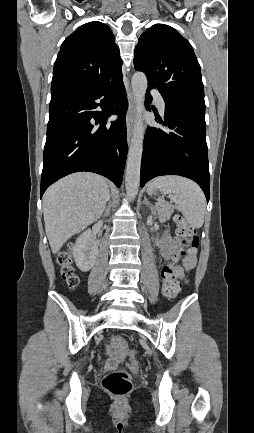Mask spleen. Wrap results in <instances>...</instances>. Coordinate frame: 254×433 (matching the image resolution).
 <instances>
[{"mask_svg": "<svg viewBox=\"0 0 254 433\" xmlns=\"http://www.w3.org/2000/svg\"><path fill=\"white\" fill-rule=\"evenodd\" d=\"M156 189L164 194H173L176 209L183 214L191 227H202L206 199L195 182L176 175L160 176L149 183L147 192L151 194Z\"/></svg>", "mask_w": 254, "mask_h": 433, "instance_id": "obj_1", "label": "spleen"}]
</instances>
